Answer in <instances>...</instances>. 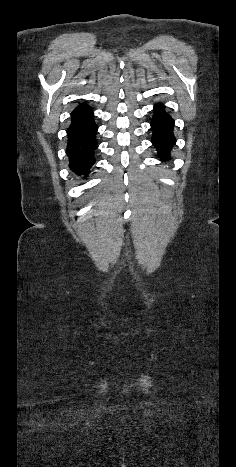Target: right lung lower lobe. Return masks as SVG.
Segmentation results:
<instances>
[{"mask_svg":"<svg viewBox=\"0 0 236 467\" xmlns=\"http://www.w3.org/2000/svg\"><path fill=\"white\" fill-rule=\"evenodd\" d=\"M71 121L67 130L69 167L75 174H83L86 177L95 163L93 154L97 148V126L91 108L85 103L80 104L72 111Z\"/></svg>","mask_w":236,"mask_h":467,"instance_id":"98d812e1","label":"right lung lower lobe"}]
</instances>
